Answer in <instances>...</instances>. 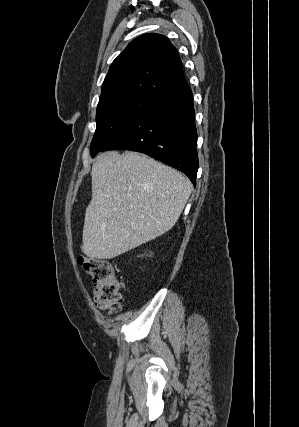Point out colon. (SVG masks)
<instances>
[{
  "label": "colon",
  "mask_w": 299,
  "mask_h": 427,
  "mask_svg": "<svg viewBox=\"0 0 299 427\" xmlns=\"http://www.w3.org/2000/svg\"><path fill=\"white\" fill-rule=\"evenodd\" d=\"M77 261L92 278L95 305L109 313L120 311L122 283L116 278L112 264L106 259L85 255H79Z\"/></svg>",
  "instance_id": "5ec220e1"
}]
</instances>
